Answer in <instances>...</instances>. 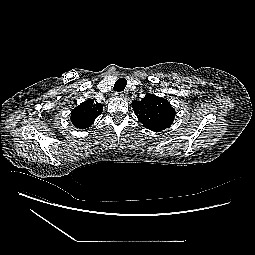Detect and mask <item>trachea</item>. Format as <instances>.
Masks as SVG:
<instances>
[{"mask_svg":"<svg viewBox=\"0 0 255 255\" xmlns=\"http://www.w3.org/2000/svg\"><path fill=\"white\" fill-rule=\"evenodd\" d=\"M127 81L125 78H119L114 85V90L117 92H122L124 91L125 87H126Z\"/></svg>","mask_w":255,"mask_h":255,"instance_id":"trachea-1","label":"trachea"}]
</instances>
